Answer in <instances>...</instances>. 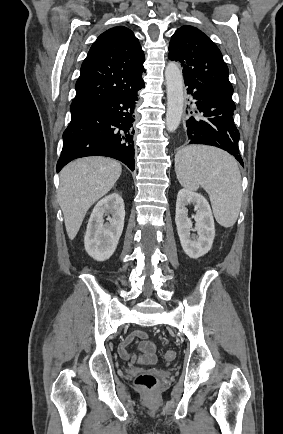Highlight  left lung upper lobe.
<instances>
[{"label":"left lung upper lobe","instance_id":"5c2ea615","mask_svg":"<svg viewBox=\"0 0 283 434\" xmlns=\"http://www.w3.org/2000/svg\"><path fill=\"white\" fill-rule=\"evenodd\" d=\"M169 59L181 64L184 77L196 79L232 96L233 87L222 53L198 28L184 25L176 30L169 43Z\"/></svg>","mask_w":283,"mask_h":434}]
</instances>
